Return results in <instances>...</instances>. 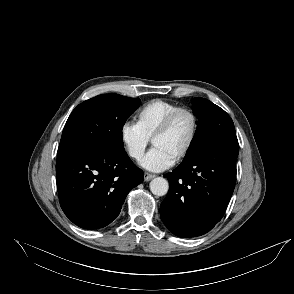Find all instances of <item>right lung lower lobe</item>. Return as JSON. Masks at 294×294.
<instances>
[{
  "mask_svg": "<svg viewBox=\"0 0 294 294\" xmlns=\"http://www.w3.org/2000/svg\"><path fill=\"white\" fill-rule=\"evenodd\" d=\"M125 149L97 146L72 150L56 161V183L63 212L77 226L98 229L120 213L129 191L142 183Z\"/></svg>",
  "mask_w": 294,
  "mask_h": 294,
  "instance_id": "1",
  "label": "right lung lower lobe"
}]
</instances>
